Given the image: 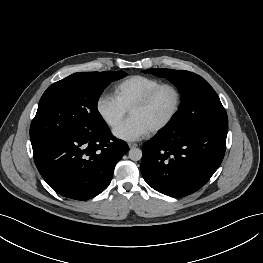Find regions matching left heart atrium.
I'll return each instance as SVG.
<instances>
[{"mask_svg":"<svg viewBox=\"0 0 263 263\" xmlns=\"http://www.w3.org/2000/svg\"><path fill=\"white\" fill-rule=\"evenodd\" d=\"M115 137L124 141H135L150 133V129L138 118L130 117L113 131Z\"/></svg>","mask_w":263,"mask_h":263,"instance_id":"1","label":"left heart atrium"}]
</instances>
